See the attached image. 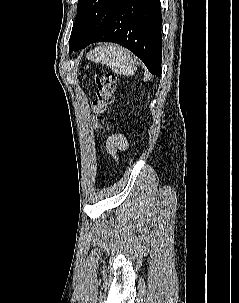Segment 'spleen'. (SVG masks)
<instances>
[{"label": "spleen", "instance_id": "spleen-1", "mask_svg": "<svg viewBox=\"0 0 239 303\" xmlns=\"http://www.w3.org/2000/svg\"><path fill=\"white\" fill-rule=\"evenodd\" d=\"M93 62L107 65L116 74L132 76L136 71L137 61L129 50L119 45H106L96 47L87 54Z\"/></svg>", "mask_w": 239, "mask_h": 303}]
</instances>
